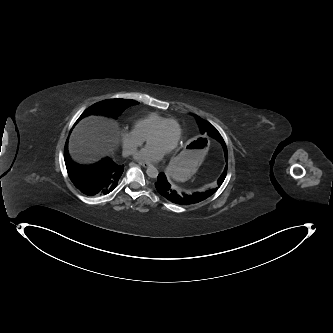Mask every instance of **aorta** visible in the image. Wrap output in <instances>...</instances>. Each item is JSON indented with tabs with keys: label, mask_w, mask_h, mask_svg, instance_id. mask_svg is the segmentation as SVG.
<instances>
[{
	"label": "aorta",
	"mask_w": 333,
	"mask_h": 333,
	"mask_svg": "<svg viewBox=\"0 0 333 333\" xmlns=\"http://www.w3.org/2000/svg\"><path fill=\"white\" fill-rule=\"evenodd\" d=\"M147 175L150 178H156L158 176V170L154 166H149L147 168Z\"/></svg>",
	"instance_id": "aorta-1"
}]
</instances>
